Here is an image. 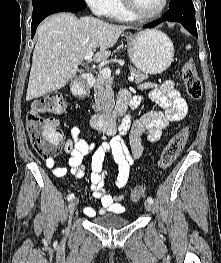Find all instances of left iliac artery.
<instances>
[{
	"label": "left iliac artery",
	"mask_w": 221,
	"mask_h": 263,
	"mask_svg": "<svg viewBox=\"0 0 221 263\" xmlns=\"http://www.w3.org/2000/svg\"><path fill=\"white\" fill-rule=\"evenodd\" d=\"M147 201H148L149 203H151V204L154 202V200L152 199V197H148V198H147Z\"/></svg>",
	"instance_id": "left-iliac-artery-1"
}]
</instances>
